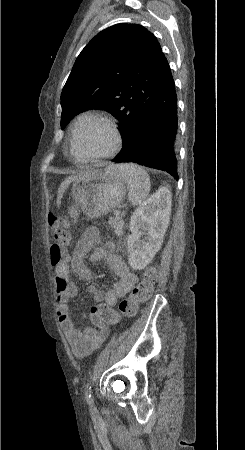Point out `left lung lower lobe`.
Listing matches in <instances>:
<instances>
[{"mask_svg": "<svg viewBox=\"0 0 245 450\" xmlns=\"http://www.w3.org/2000/svg\"><path fill=\"white\" fill-rule=\"evenodd\" d=\"M177 95L170 67L143 104L127 143L113 162H135L176 180Z\"/></svg>", "mask_w": 245, "mask_h": 450, "instance_id": "0a47b994", "label": "left lung lower lobe"}]
</instances>
